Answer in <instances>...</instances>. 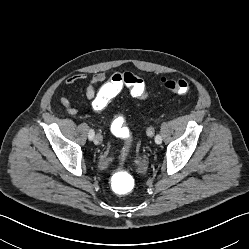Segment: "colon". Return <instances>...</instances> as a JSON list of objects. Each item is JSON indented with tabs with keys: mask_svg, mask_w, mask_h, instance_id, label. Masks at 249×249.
I'll use <instances>...</instances> for the list:
<instances>
[{
	"mask_svg": "<svg viewBox=\"0 0 249 249\" xmlns=\"http://www.w3.org/2000/svg\"><path fill=\"white\" fill-rule=\"evenodd\" d=\"M112 89L109 97L106 99V104L113 99L122 88L127 87L131 96L135 98H142L146 95V83L145 81L131 73V72H117L114 73L109 79ZM164 87L178 95H185L190 90V84L185 79H166L163 81ZM112 133L123 139H130L131 132L124 120H119L112 126ZM129 176L125 173H118L113 181V190L119 195L127 194L130 189L126 186Z\"/></svg>",
	"mask_w": 249,
	"mask_h": 249,
	"instance_id": "5ec220e1",
	"label": "colon"
}]
</instances>
